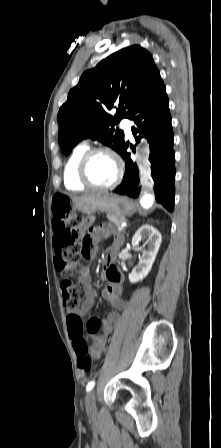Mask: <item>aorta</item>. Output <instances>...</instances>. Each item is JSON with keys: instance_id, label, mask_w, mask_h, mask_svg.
<instances>
[{"instance_id": "762f6f07", "label": "aorta", "mask_w": 221, "mask_h": 448, "mask_svg": "<svg viewBox=\"0 0 221 448\" xmlns=\"http://www.w3.org/2000/svg\"><path fill=\"white\" fill-rule=\"evenodd\" d=\"M154 196L153 195H151V194H145L142 198H141V205L144 207V208H149V207H151L152 205H153V203H154Z\"/></svg>"}]
</instances>
